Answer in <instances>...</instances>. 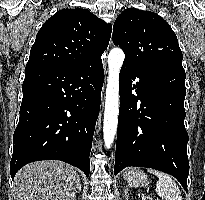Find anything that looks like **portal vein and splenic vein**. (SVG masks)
I'll return each instance as SVG.
<instances>
[{"label":"portal vein and splenic vein","mask_w":205,"mask_h":200,"mask_svg":"<svg viewBox=\"0 0 205 200\" xmlns=\"http://www.w3.org/2000/svg\"><path fill=\"white\" fill-rule=\"evenodd\" d=\"M151 200H159V198H151Z\"/></svg>","instance_id":"obj_1"}]
</instances>
